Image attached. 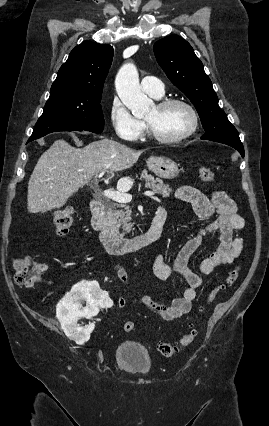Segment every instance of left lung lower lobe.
<instances>
[{"instance_id": "0a47b994", "label": "left lung lower lobe", "mask_w": 269, "mask_h": 426, "mask_svg": "<svg viewBox=\"0 0 269 426\" xmlns=\"http://www.w3.org/2000/svg\"><path fill=\"white\" fill-rule=\"evenodd\" d=\"M201 139L208 140V139H205L203 136L201 137ZM210 141H215V142L229 145L235 148L236 150H238V152L242 155V157H244V147L240 139H218V140H210Z\"/></svg>"}]
</instances>
